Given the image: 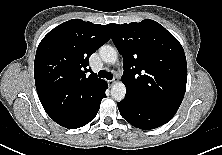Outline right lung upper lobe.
<instances>
[{
    "mask_svg": "<svg viewBox=\"0 0 222 155\" xmlns=\"http://www.w3.org/2000/svg\"><path fill=\"white\" fill-rule=\"evenodd\" d=\"M109 39L108 25L80 19L60 24L42 39L35 56L34 77L47 114L70 113L105 85L88 66L89 57Z\"/></svg>",
    "mask_w": 222,
    "mask_h": 155,
    "instance_id": "1",
    "label": "right lung upper lobe"
}]
</instances>
